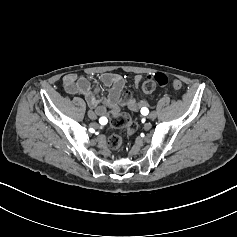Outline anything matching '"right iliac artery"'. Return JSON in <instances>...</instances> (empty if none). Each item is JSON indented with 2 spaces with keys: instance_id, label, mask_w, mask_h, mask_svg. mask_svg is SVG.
<instances>
[{
  "instance_id": "obj_1",
  "label": "right iliac artery",
  "mask_w": 237,
  "mask_h": 237,
  "mask_svg": "<svg viewBox=\"0 0 237 237\" xmlns=\"http://www.w3.org/2000/svg\"><path fill=\"white\" fill-rule=\"evenodd\" d=\"M99 123H100V124H106V123H107V118H106V117H101V118L99 119Z\"/></svg>"
}]
</instances>
